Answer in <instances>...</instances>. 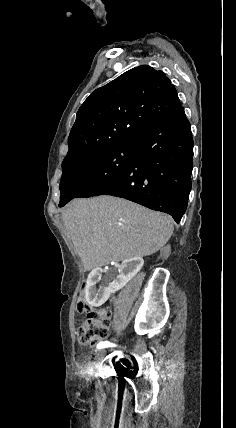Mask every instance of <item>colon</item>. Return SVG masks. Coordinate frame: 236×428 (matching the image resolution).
<instances>
[{
  "label": "colon",
  "instance_id": "colon-1",
  "mask_svg": "<svg viewBox=\"0 0 236 428\" xmlns=\"http://www.w3.org/2000/svg\"><path fill=\"white\" fill-rule=\"evenodd\" d=\"M78 310L85 313L77 329V340L80 344L95 346L106 338L109 327V313L90 306L85 300V285L79 290Z\"/></svg>",
  "mask_w": 236,
  "mask_h": 428
}]
</instances>
